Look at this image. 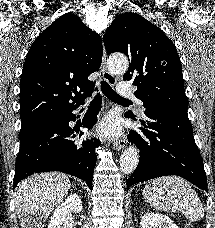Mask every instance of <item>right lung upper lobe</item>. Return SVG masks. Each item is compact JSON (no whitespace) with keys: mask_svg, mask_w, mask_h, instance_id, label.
Wrapping results in <instances>:
<instances>
[{"mask_svg":"<svg viewBox=\"0 0 215 228\" xmlns=\"http://www.w3.org/2000/svg\"><path fill=\"white\" fill-rule=\"evenodd\" d=\"M102 61L100 37L78 16L67 13L33 42L20 80L22 123L61 115L80 104L95 83L88 76Z\"/></svg>","mask_w":215,"mask_h":228,"instance_id":"cb5924a9","label":"right lung upper lobe"}]
</instances>
